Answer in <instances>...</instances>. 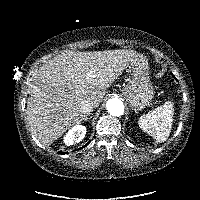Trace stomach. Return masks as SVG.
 Masks as SVG:
<instances>
[{"mask_svg": "<svg viewBox=\"0 0 200 200\" xmlns=\"http://www.w3.org/2000/svg\"><path fill=\"white\" fill-rule=\"evenodd\" d=\"M148 70V62L143 56L128 65V72L131 76L124 88V94L134 110L146 108L154 97Z\"/></svg>", "mask_w": 200, "mask_h": 200, "instance_id": "obj_1", "label": "stomach"}]
</instances>
